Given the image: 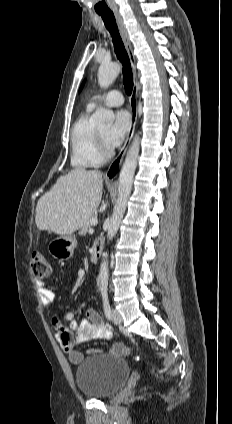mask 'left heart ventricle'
Wrapping results in <instances>:
<instances>
[{
  "label": "left heart ventricle",
  "instance_id": "obj_1",
  "mask_svg": "<svg viewBox=\"0 0 232 424\" xmlns=\"http://www.w3.org/2000/svg\"><path fill=\"white\" fill-rule=\"evenodd\" d=\"M110 126H105L99 129L100 133L102 134L103 138L107 141L108 135L110 133Z\"/></svg>",
  "mask_w": 232,
  "mask_h": 424
}]
</instances>
